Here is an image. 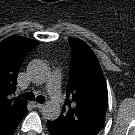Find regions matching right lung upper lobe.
Returning <instances> with one entry per match:
<instances>
[{"instance_id": "right-lung-upper-lobe-1", "label": "right lung upper lobe", "mask_w": 135, "mask_h": 135, "mask_svg": "<svg viewBox=\"0 0 135 135\" xmlns=\"http://www.w3.org/2000/svg\"><path fill=\"white\" fill-rule=\"evenodd\" d=\"M39 42L9 37L0 43V135H10L27 113V102L13 99L17 76L26 54Z\"/></svg>"}]
</instances>
